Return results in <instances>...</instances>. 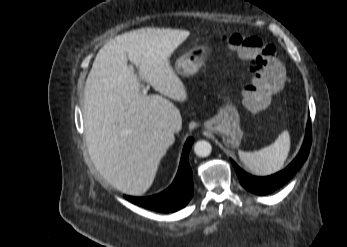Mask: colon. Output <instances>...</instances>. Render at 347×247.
Listing matches in <instances>:
<instances>
[{"mask_svg": "<svg viewBox=\"0 0 347 247\" xmlns=\"http://www.w3.org/2000/svg\"><path fill=\"white\" fill-rule=\"evenodd\" d=\"M223 41L241 59L250 63L253 81L243 93L245 104L251 109L264 108L269 97L280 91L285 82V72L274 46L265 44L257 36L239 32L225 34Z\"/></svg>", "mask_w": 347, "mask_h": 247, "instance_id": "colon-1", "label": "colon"}]
</instances>
